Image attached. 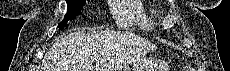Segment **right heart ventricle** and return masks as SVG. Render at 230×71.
<instances>
[{"label":"right heart ventricle","mask_w":230,"mask_h":71,"mask_svg":"<svg viewBox=\"0 0 230 71\" xmlns=\"http://www.w3.org/2000/svg\"><path fill=\"white\" fill-rule=\"evenodd\" d=\"M112 8L117 24L123 28L151 26V16L142 0H117Z\"/></svg>","instance_id":"obj_1"}]
</instances>
